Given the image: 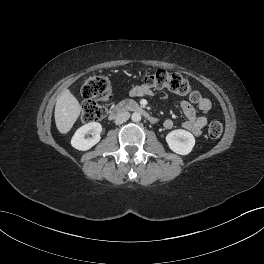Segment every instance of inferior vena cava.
I'll use <instances>...</instances> for the list:
<instances>
[{
  "label": "inferior vena cava",
  "instance_id": "inferior-vena-cava-1",
  "mask_svg": "<svg viewBox=\"0 0 264 264\" xmlns=\"http://www.w3.org/2000/svg\"><path fill=\"white\" fill-rule=\"evenodd\" d=\"M129 118H130V113L128 111H123L117 114L115 118V124L116 125L122 124L123 122H126Z\"/></svg>",
  "mask_w": 264,
  "mask_h": 264
}]
</instances>
